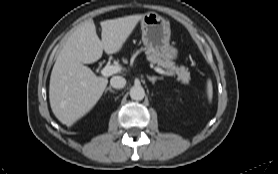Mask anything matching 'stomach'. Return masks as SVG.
Masks as SVG:
<instances>
[{
  "label": "stomach",
  "instance_id": "stomach-1",
  "mask_svg": "<svg viewBox=\"0 0 278 174\" xmlns=\"http://www.w3.org/2000/svg\"><path fill=\"white\" fill-rule=\"evenodd\" d=\"M142 42L145 49L158 57L176 60L177 48L170 43V23L155 12L143 15L141 19Z\"/></svg>",
  "mask_w": 278,
  "mask_h": 174
}]
</instances>
